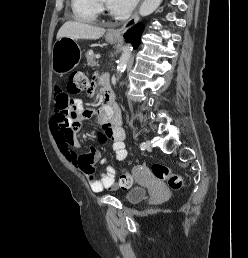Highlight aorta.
<instances>
[{
	"label": "aorta",
	"instance_id": "762f6f07",
	"mask_svg": "<svg viewBox=\"0 0 248 258\" xmlns=\"http://www.w3.org/2000/svg\"><path fill=\"white\" fill-rule=\"evenodd\" d=\"M163 0H144L140 6L139 13L141 16H147L153 13ZM132 47L130 44H127L123 50V53L118 61L117 71L122 73L131 56Z\"/></svg>",
	"mask_w": 248,
	"mask_h": 258
}]
</instances>
